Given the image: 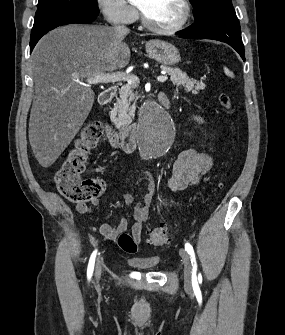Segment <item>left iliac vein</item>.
<instances>
[{"mask_svg":"<svg viewBox=\"0 0 285 335\" xmlns=\"http://www.w3.org/2000/svg\"><path fill=\"white\" fill-rule=\"evenodd\" d=\"M180 256L182 257L183 265H184V279L188 286L192 283V266L190 262V258L188 256V253L180 248L179 250Z\"/></svg>","mask_w":285,"mask_h":335,"instance_id":"1","label":"left iliac vein"}]
</instances>
